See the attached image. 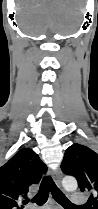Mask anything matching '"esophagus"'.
<instances>
[{
  "mask_svg": "<svg viewBox=\"0 0 98 209\" xmlns=\"http://www.w3.org/2000/svg\"><path fill=\"white\" fill-rule=\"evenodd\" d=\"M53 178H54V181L56 183L57 186H61V179H62V173L60 170H56L54 173H53Z\"/></svg>",
  "mask_w": 98,
  "mask_h": 209,
  "instance_id": "esophagus-1",
  "label": "esophagus"
}]
</instances>
